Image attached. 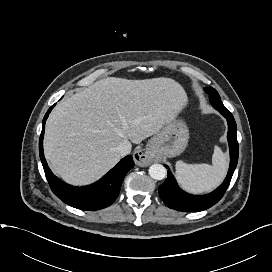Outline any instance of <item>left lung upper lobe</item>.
Here are the masks:
<instances>
[{
    "label": "left lung upper lobe",
    "mask_w": 272,
    "mask_h": 272,
    "mask_svg": "<svg viewBox=\"0 0 272 272\" xmlns=\"http://www.w3.org/2000/svg\"><path fill=\"white\" fill-rule=\"evenodd\" d=\"M205 91L207 93H209V99L210 100H220L221 101L218 92L214 88H211V87L205 88Z\"/></svg>",
    "instance_id": "5c2ea615"
}]
</instances>
